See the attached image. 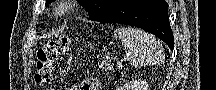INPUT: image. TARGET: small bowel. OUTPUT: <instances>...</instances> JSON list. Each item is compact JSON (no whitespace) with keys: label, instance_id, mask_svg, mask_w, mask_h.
I'll list each match as a JSON object with an SVG mask.
<instances>
[{"label":"small bowel","instance_id":"obj_1","mask_svg":"<svg viewBox=\"0 0 216 90\" xmlns=\"http://www.w3.org/2000/svg\"><path fill=\"white\" fill-rule=\"evenodd\" d=\"M62 73L64 72L62 71ZM97 89H98L97 80L94 78H87V79L82 80L79 83L77 90H97ZM51 90H55V89H51Z\"/></svg>","mask_w":216,"mask_h":90}]
</instances>
